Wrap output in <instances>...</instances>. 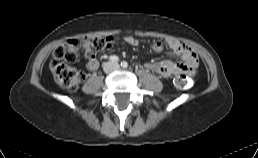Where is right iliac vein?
Segmentation results:
<instances>
[{
	"mask_svg": "<svg viewBox=\"0 0 258 158\" xmlns=\"http://www.w3.org/2000/svg\"><path fill=\"white\" fill-rule=\"evenodd\" d=\"M113 69H114V66H113L111 63H107V64L105 65V67H104V71H105L106 73L111 72Z\"/></svg>",
	"mask_w": 258,
	"mask_h": 158,
	"instance_id": "obj_1",
	"label": "right iliac vein"
}]
</instances>
